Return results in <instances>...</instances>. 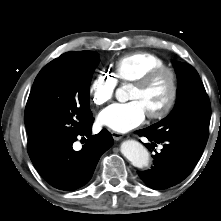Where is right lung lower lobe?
<instances>
[{
    "instance_id": "obj_1",
    "label": "right lung lower lobe",
    "mask_w": 221,
    "mask_h": 221,
    "mask_svg": "<svg viewBox=\"0 0 221 221\" xmlns=\"http://www.w3.org/2000/svg\"><path fill=\"white\" fill-rule=\"evenodd\" d=\"M93 118L68 140L28 143V154L39 174L56 189L71 191L84 186L92 177L101 155L113 145L111 134L103 129L92 133ZM89 138L80 151L73 150L77 138Z\"/></svg>"
}]
</instances>
